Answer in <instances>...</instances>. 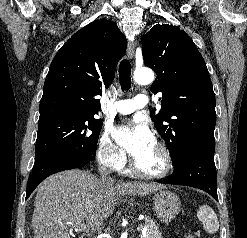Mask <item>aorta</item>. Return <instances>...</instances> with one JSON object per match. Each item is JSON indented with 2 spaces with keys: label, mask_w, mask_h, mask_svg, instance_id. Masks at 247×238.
I'll use <instances>...</instances> for the list:
<instances>
[{
  "label": "aorta",
  "mask_w": 247,
  "mask_h": 238,
  "mask_svg": "<svg viewBox=\"0 0 247 238\" xmlns=\"http://www.w3.org/2000/svg\"><path fill=\"white\" fill-rule=\"evenodd\" d=\"M134 81L138 84H150L154 81V73L147 68L137 69L134 72Z\"/></svg>",
  "instance_id": "762f6f07"
}]
</instances>
